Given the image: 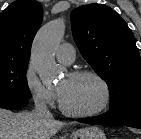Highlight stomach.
Instances as JSON below:
<instances>
[{"label":"stomach","instance_id":"stomach-1","mask_svg":"<svg viewBox=\"0 0 141 139\" xmlns=\"http://www.w3.org/2000/svg\"><path fill=\"white\" fill-rule=\"evenodd\" d=\"M72 139H106V136L100 128L90 126L74 132Z\"/></svg>","mask_w":141,"mask_h":139}]
</instances>
